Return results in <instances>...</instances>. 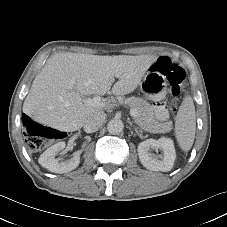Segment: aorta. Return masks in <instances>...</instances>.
Returning <instances> with one entry per match:
<instances>
[{
  "mask_svg": "<svg viewBox=\"0 0 227 227\" xmlns=\"http://www.w3.org/2000/svg\"><path fill=\"white\" fill-rule=\"evenodd\" d=\"M124 124L122 120L114 118L110 120L107 124V130L111 134H119L123 131Z\"/></svg>",
  "mask_w": 227,
  "mask_h": 227,
  "instance_id": "762f6f07",
  "label": "aorta"
}]
</instances>
